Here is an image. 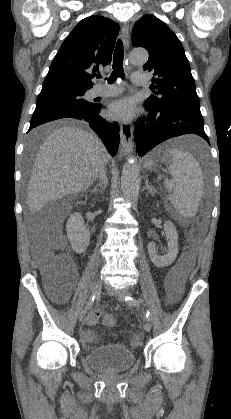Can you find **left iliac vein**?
Returning <instances> with one entry per match:
<instances>
[{"instance_id": "obj_1", "label": "left iliac vein", "mask_w": 231, "mask_h": 419, "mask_svg": "<svg viewBox=\"0 0 231 419\" xmlns=\"http://www.w3.org/2000/svg\"><path fill=\"white\" fill-rule=\"evenodd\" d=\"M127 291L125 289L120 290L119 292H117V298L119 301L124 302L125 301V296L127 295ZM144 330L146 332H150L151 331V324L149 322H146L144 324Z\"/></svg>"}]
</instances>
